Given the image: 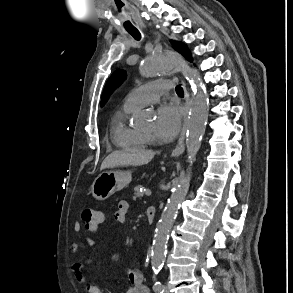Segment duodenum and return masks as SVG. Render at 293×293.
<instances>
[{
  "label": "duodenum",
  "mask_w": 293,
  "mask_h": 293,
  "mask_svg": "<svg viewBox=\"0 0 293 293\" xmlns=\"http://www.w3.org/2000/svg\"><path fill=\"white\" fill-rule=\"evenodd\" d=\"M156 209L153 206H149L146 209V218L149 224H152L155 219Z\"/></svg>",
  "instance_id": "410a0bca"
}]
</instances>
